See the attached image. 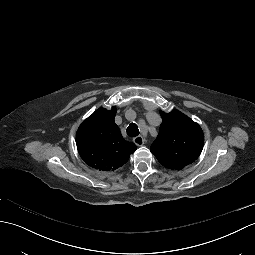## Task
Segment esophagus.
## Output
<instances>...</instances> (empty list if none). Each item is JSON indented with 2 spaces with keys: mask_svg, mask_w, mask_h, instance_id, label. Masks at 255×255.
I'll use <instances>...</instances> for the list:
<instances>
[{
  "mask_svg": "<svg viewBox=\"0 0 255 255\" xmlns=\"http://www.w3.org/2000/svg\"><path fill=\"white\" fill-rule=\"evenodd\" d=\"M133 142L137 145V146H142L144 144V138L142 136H137L133 139Z\"/></svg>",
  "mask_w": 255,
  "mask_h": 255,
  "instance_id": "34e87169",
  "label": "esophagus"
}]
</instances>
